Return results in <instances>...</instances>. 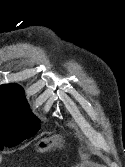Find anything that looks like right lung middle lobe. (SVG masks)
Returning a JSON list of instances; mask_svg holds the SVG:
<instances>
[{
    "instance_id": "obj_1",
    "label": "right lung middle lobe",
    "mask_w": 125,
    "mask_h": 167,
    "mask_svg": "<svg viewBox=\"0 0 125 167\" xmlns=\"http://www.w3.org/2000/svg\"><path fill=\"white\" fill-rule=\"evenodd\" d=\"M39 129L26 99L0 98V145L16 146Z\"/></svg>"
}]
</instances>
